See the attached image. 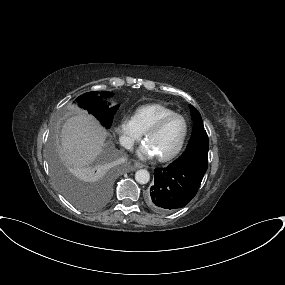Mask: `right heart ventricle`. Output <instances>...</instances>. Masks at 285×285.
<instances>
[{
  "label": "right heart ventricle",
  "mask_w": 285,
  "mask_h": 285,
  "mask_svg": "<svg viewBox=\"0 0 285 285\" xmlns=\"http://www.w3.org/2000/svg\"><path fill=\"white\" fill-rule=\"evenodd\" d=\"M175 112L161 104H149L139 107L134 114L137 127L143 133L163 117Z\"/></svg>",
  "instance_id": "right-heart-ventricle-1"
}]
</instances>
